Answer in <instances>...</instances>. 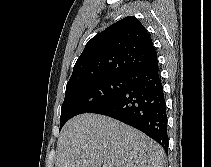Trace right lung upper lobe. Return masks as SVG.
Segmentation results:
<instances>
[{
  "label": "right lung upper lobe",
  "instance_id": "1",
  "mask_svg": "<svg viewBox=\"0 0 211 167\" xmlns=\"http://www.w3.org/2000/svg\"><path fill=\"white\" fill-rule=\"evenodd\" d=\"M157 59L141 22L128 16L94 36L76 61L66 89L108 76H127Z\"/></svg>",
  "mask_w": 211,
  "mask_h": 167
}]
</instances>
